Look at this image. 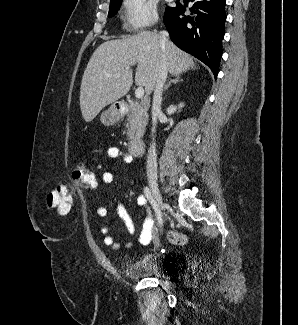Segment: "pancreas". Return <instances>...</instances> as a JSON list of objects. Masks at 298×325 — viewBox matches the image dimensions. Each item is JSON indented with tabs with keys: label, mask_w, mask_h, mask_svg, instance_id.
<instances>
[{
	"label": "pancreas",
	"mask_w": 298,
	"mask_h": 325,
	"mask_svg": "<svg viewBox=\"0 0 298 325\" xmlns=\"http://www.w3.org/2000/svg\"><path fill=\"white\" fill-rule=\"evenodd\" d=\"M130 104V112L127 116V140L132 142L133 138H135L137 132L138 134H143L145 130V126L148 122V112L146 108H142L140 106L139 102H136V100H129Z\"/></svg>",
	"instance_id": "pancreas-1"
}]
</instances>
